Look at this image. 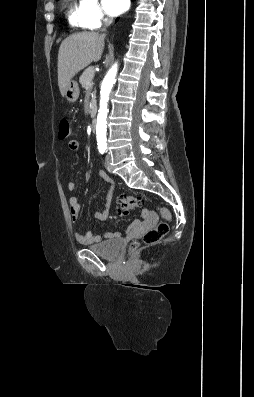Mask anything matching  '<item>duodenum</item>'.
<instances>
[{
  "instance_id": "410a0bca",
  "label": "duodenum",
  "mask_w": 254,
  "mask_h": 397,
  "mask_svg": "<svg viewBox=\"0 0 254 397\" xmlns=\"http://www.w3.org/2000/svg\"><path fill=\"white\" fill-rule=\"evenodd\" d=\"M96 124H97V121H96V117L94 116L92 121H91V124H90L92 131L96 130Z\"/></svg>"
}]
</instances>
